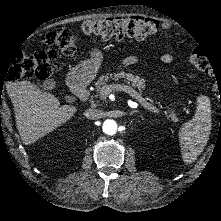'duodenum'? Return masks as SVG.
<instances>
[{
	"instance_id": "1",
	"label": "duodenum",
	"mask_w": 221,
	"mask_h": 221,
	"mask_svg": "<svg viewBox=\"0 0 221 221\" xmlns=\"http://www.w3.org/2000/svg\"><path fill=\"white\" fill-rule=\"evenodd\" d=\"M72 100H84L88 96V75L84 70H78L70 76Z\"/></svg>"
}]
</instances>
